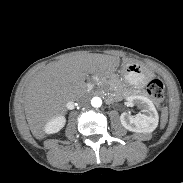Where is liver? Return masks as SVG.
<instances>
[{"instance_id": "1", "label": "liver", "mask_w": 183, "mask_h": 183, "mask_svg": "<svg viewBox=\"0 0 183 183\" xmlns=\"http://www.w3.org/2000/svg\"><path fill=\"white\" fill-rule=\"evenodd\" d=\"M119 63L120 58L114 56L78 53L51 62L35 73L24 89V110L33 136L39 140L46 137V123L66 112V103L75 100L85 88L89 74H111Z\"/></svg>"}]
</instances>
